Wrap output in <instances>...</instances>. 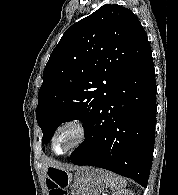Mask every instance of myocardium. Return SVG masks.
Segmentation results:
<instances>
[{
	"instance_id": "f54148a6",
	"label": "myocardium",
	"mask_w": 178,
	"mask_h": 195,
	"mask_svg": "<svg viewBox=\"0 0 178 195\" xmlns=\"http://www.w3.org/2000/svg\"><path fill=\"white\" fill-rule=\"evenodd\" d=\"M64 130H73L76 133V139L72 143V145L66 149L63 152H57L54 149L55 140L58 136V134ZM87 136V129L85 125L78 121V120H69L64 123H62L54 132L52 138H51V149L55 154H67L78 148L86 139Z\"/></svg>"
}]
</instances>
